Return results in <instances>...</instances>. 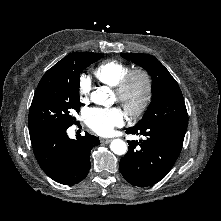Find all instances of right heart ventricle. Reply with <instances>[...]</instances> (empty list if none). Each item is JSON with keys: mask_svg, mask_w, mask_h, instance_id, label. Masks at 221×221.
I'll return each mask as SVG.
<instances>
[{"mask_svg": "<svg viewBox=\"0 0 221 221\" xmlns=\"http://www.w3.org/2000/svg\"><path fill=\"white\" fill-rule=\"evenodd\" d=\"M131 67L118 60H107L94 69V76L102 83L116 88Z\"/></svg>", "mask_w": 221, "mask_h": 221, "instance_id": "1", "label": "right heart ventricle"}]
</instances>
